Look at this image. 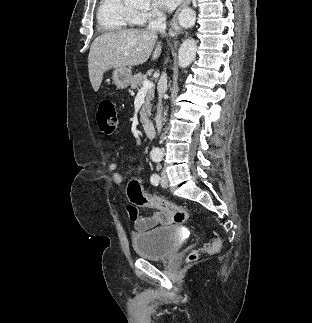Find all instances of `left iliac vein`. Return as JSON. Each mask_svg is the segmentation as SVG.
<instances>
[{
  "label": "left iliac vein",
  "mask_w": 312,
  "mask_h": 323,
  "mask_svg": "<svg viewBox=\"0 0 312 323\" xmlns=\"http://www.w3.org/2000/svg\"><path fill=\"white\" fill-rule=\"evenodd\" d=\"M161 186L163 187V188H166L167 186H168V178H167V173H166V171H162V173H161Z\"/></svg>",
  "instance_id": "obj_1"
}]
</instances>
